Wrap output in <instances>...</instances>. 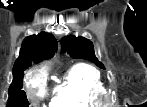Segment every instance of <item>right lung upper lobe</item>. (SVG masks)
I'll return each mask as SVG.
<instances>
[{"instance_id": "obj_1", "label": "right lung upper lobe", "mask_w": 147, "mask_h": 107, "mask_svg": "<svg viewBox=\"0 0 147 107\" xmlns=\"http://www.w3.org/2000/svg\"><path fill=\"white\" fill-rule=\"evenodd\" d=\"M56 50L57 41L51 33L41 32L38 35L26 37L22 43L20 57L13 67V76L24 66L52 58Z\"/></svg>"}]
</instances>
